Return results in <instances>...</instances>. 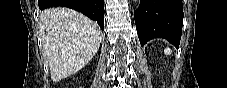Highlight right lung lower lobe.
Instances as JSON below:
<instances>
[{
    "label": "right lung lower lobe",
    "mask_w": 227,
    "mask_h": 88,
    "mask_svg": "<svg viewBox=\"0 0 227 88\" xmlns=\"http://www.w3.org/2000/svg\"><path fill=\"white\" fill-rule=\"evenodd\" d=\"M40 10L62 6L83 13L98 23L104 30V3L103 0H38Z\"/></svg>",
    "instance_id": "right-lung-lower-lobe-1"
}]
</instances>
